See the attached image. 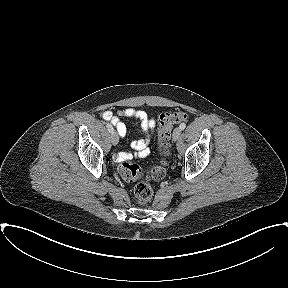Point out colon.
I'll list each match as a JSON object with an SVG mask.
<instances>
[{
    "label": "colon",
    "mask_w": 288,
    "mask_h": 288,
    "mask_svg": "<svg viewBox=\"0 0 288 288\" xmlns=\"http://www.w3.org/2000/svg\"><path fill=\"white\" fill-rule=\"evenodd\" d=\"M185 120H187V114L182 111L166 112L159 116L157 125L158 146L162 158L158 164L148 170H144L139 164L131 160H124L119 165V174L125 181H139L133 191V198L137 203L144 204L151 199L153 189L150 180L159 181L164 178L166 168L163 157L168 153L170 132L175 125Z\"/></svg>",
    "instance_id": "obj_1"
}]
</instances>
